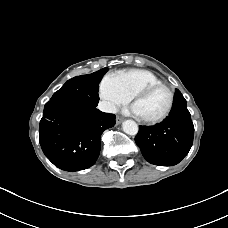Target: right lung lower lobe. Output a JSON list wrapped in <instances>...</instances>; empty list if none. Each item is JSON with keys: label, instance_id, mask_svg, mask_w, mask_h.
Returning a JSON list of instances; mask_svg holds the SVG:
<instances>
[{"label": "right lung lower lobe", "instance_id": "right-lung-lower-lobe-1", "mask_svg": "<svg viewBox=\"0 0 228 228\" xmlns=\"http://www.w3.org/2000/svg\"><path fill=\"white\" fill-rule=\"evenodd\" d=\"M115 125V115L63 102H47L39 127V142L58 168L78 171L91 167L100 153L102 132Z\"/></svg>", "mask_w": 228, "mask_h": 228}]
</instances>
